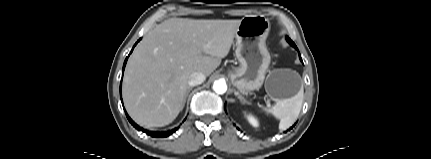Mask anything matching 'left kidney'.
Listing matches in <instances>:
<instances>
[{
    "mask_svg": "<svg viewBox=\"0 0 431 159\" xmlns=\"http://www.w3.org/2000/svg\"><path fill=\"white\" fill-rule=\"evenodd\" d=\"M248 121L254 126H258V121L253 116H248Z\"/></svg>",
    "mask_w": 431,
    "mask_h": 159,
    "instance_id": "obj_1",
    "label": "left kidney"
}]
</instances>
